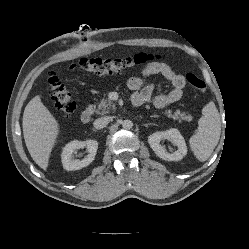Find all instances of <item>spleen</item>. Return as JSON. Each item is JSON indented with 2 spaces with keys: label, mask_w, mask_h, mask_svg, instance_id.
I'll return each instance as SVG.
<instances>
[{
  "label": "spleen",
  "mask_w": 249,
  "mask_h": 249,
  "mask_svg": "<svg viewBox=\"0 0 249 249\" xmlns=\"http://www.w3.org/2000/svg\"><path fill=\"white\" fill-rule=\"evenodd\" d=\"M221 134V121L214 102H209L202 109L198 120V129L190 138V147L196 158L204 162L217 146Z\"/></svg>",
  "instance_id": "1"
}]
</instances>
